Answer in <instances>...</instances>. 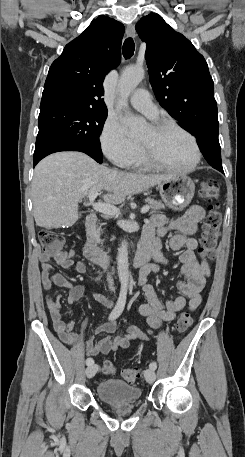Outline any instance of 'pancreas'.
Returning <instances> with one entry per match:
<instances>
[{
    "label": "pancreas",
    "mask_w": 245,
    "mask_h": 457,
    "mask_svg": "<svg viewBox=\"0 0 245 457\" xmlns=\"http://www.w3.org/2000/svg\"><path fill=\"white\" fill-rule=\"evenodd\" d=\"M145 200L146 202H149L152 210H159V208H165V204H163V202H160V200H154V198H145ZM87 233L90 239H92V241H95V243H102V239H100V226H97V224H91V226H89V229H87Z\"/></svg>",
    "instance_id": "obj_1"
}]
</instances>
